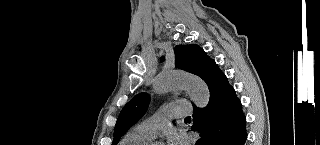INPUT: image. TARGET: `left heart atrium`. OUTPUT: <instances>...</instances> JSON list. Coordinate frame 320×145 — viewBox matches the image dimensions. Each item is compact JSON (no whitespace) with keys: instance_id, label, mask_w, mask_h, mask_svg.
Masks as SVG:
<instances>
[{"instance_id":"1","label":"left heart atrium","mask_w":320,"mask_h":145,"mask_svg":"<svg viewBox=\"0 0 320 145\" xmlns=\"http://www.w3.org/2000/svg\"><path fill=\"white\" fill-rule=\"evenodd\" d=\"M169 145H186L185 137L180 133H172L168 138Z\"/></svg>"}]
</instances>
